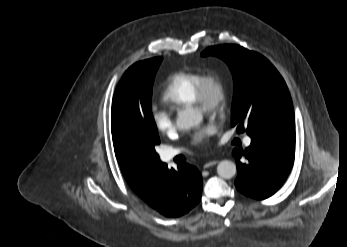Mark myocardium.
Wrapping results in <instances>:
<instances>
[{
    "instance_id": "1",
    "label": "myocardium",
    "mask_w": 347,
    "mask_h": 247,
    "mask_svg": "<svg viewBox=\"0 0 347 247\" xmlns=\"http://www.w3.org/2000/svg\"><path fill=\"white\" fill-rule=\"evenodd\" d=\"M228 102L227 86L217 75L203 74L195 92V107L202 114H221Z\"/></svg>"
}]
</instances>
